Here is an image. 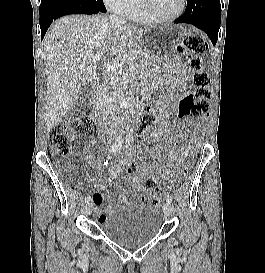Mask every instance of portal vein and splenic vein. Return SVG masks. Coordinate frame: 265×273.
Masks as SVG:
<instances>
[{"instance_id":"18ae733b","label":"portal vein and splenic vein","mask_w":265,"mask_h":273,"mask_svg":"<svg viewBox=\"0 0 265 273\" xmlns=\"http://www.w3.org/2000/svg\"><path fill=\"white\" fill-rule=\"evenodd\" d=\"M101 59V55H96L92 58V62L96 63ZM104 68L107 69L108 71H113L115 74H122L123 73V62H120L118 60H114L111 62L104 63ZM136 68L134 66H131L129 68L130 72H134Z\"/></svg>"}]
</instances>
